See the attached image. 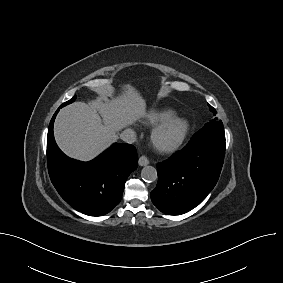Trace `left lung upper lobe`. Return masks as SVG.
<instances>
[{"instance_id":"left-lung-upper-lobe-1","label":"left lung upper lobe","mask_w":283,"mask_h":283,"mask_svg":"<svg viewBox=\"0 0 283 283\" xmlns=\"http://www.w3.org/2000/svg\"><path fill=\"white\" fill-rule=\"evenodd\" d=\"M209 109L211 112H213L214 115H216V110L211 105H209ZM198 132L214 133L221 136H225L223 123L221 120H218L217 118H215L213 121L206 123L203 126V128L200 129Z\"/></svg>"}]
</instances>
